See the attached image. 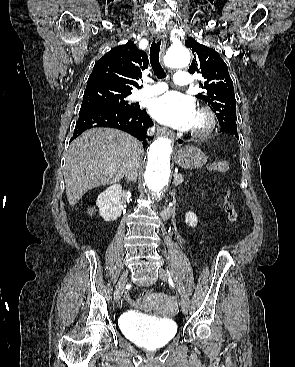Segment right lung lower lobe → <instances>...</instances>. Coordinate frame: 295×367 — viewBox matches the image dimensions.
Instances as JSON below:
<instances>
[{"instance_id":"right-lung-lower-lobe-1","label":"right lung lower lobe","mask_w":295,"mask_h":367,"mask_svg":"<svg viewBox=\"0 0 295 367\" xmlns=\"http://www.w3.org/2000/svg\"><path fill=\"white\" fill-rule=\"evenodd\" d=\"M153 125L146 110L136 106L133 109H115L108 107L80 109L79 119L76 122L73 137H78L82 132L94 127L117 128L128 132L147 145V129Z\"/></svg>"}]
</instances>
